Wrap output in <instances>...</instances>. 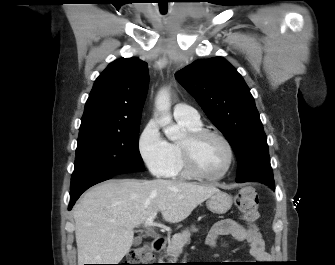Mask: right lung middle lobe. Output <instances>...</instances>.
I'll return each instance as SVG.
<instances>
[{
  "label": "right lung middle lobe",
  "instance_id": "1",
  "mask_svg": "<svg viewBox=\"0 0 335 265\" xmlns=\"http://www.w3.org/2000/svg\"><path fill=\"white\" fill-rule=\"evenodd\" d=\"M139 125L140 121L120 129L79 132L71 188L96 176L144 171Z\"/></svg>",
  "mask_w": 335,
  "mask_h": 265
}]
</instances>
